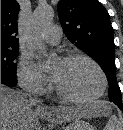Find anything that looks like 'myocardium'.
<instances>
[{"mask_svg":"<svg viewBox=\"0 0 123 130\" xmlns=\"http://www.w3.org/2000/svg\"><path fill=\"white\" fill-rule=\"evenodd\" d=\"M61 60H63V61L84 60V61L90 63L97 70V72L100 76V80H101L100 89L96 94H94L90 97L76 98V97H72V96L65 94L56 85L54 80L51 78L52 89L61 100L69 102V103L80 104V103L93 102L103 96V94L105 93L106 88H107V77H106V74H105L104 70L102 69V67L93 58H91L85 54H81V53H69V54H66L65 56H63Z\"/></svg>","mask_w":123,"mask_h":130,"instance_id":"myocardium-1","label":"myocardium"}]
</instances>
